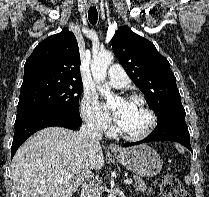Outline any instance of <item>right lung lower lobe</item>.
<instances>
[{"label": "right lung lower lobe", "mask_w": 209, "mask_h": 197, "mask_svg": "<svg viewBox=\"0 0 209 197\" xmlns=\"http://www.w3.org/2000/svg\"><path fill=\"white\" fill-rule=\"evenodd\" d=\"M82 124L79 113L69 111L48 110L41 111L16 119L15 133L11 146L13 157L19 146L36 131L51 127L61 126L75 130Z\"/></svg>", "instance_id": "right-lung-lower-lobe-1"}]
</instances>
